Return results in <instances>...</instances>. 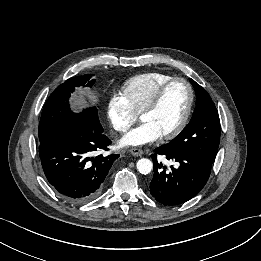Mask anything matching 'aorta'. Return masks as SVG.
<instances>
[{
    "mask_svg": "<svg viewBox=\"0 0 261 261\" xmlns=\"http://www.w3.org/2000/svg\"><path fill=\"white\" fill-rule=\"evenodd\" d=\"M137 170L141 174H149L153 169L152 162L147 158L139 159L136 164Z\"/></svg>",
    "mask_w": 261,
    "mask_h": 261,
    "instance_id": "aorta-1",
    "label": "aorta"
}]
</instances>
